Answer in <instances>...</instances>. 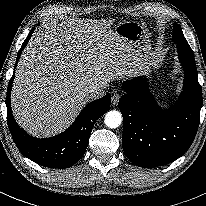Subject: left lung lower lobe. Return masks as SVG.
<instances>
[{"mask_svg":"<svg viewBox=\"0 0 206 206\" xmlns=\"http://www.w3.org/2000/svg\"><path fill=\"white\" fill-rule=\"evenodd\" d=\"M185 71L183 92L170 108L158 106L145 77L123 83L126 92L119 100L123 115L122 145L127 158L143 168L163 166L182 156L197 133L202 90L195 61L179 51Z\"/></svg>","mask_w":206,"mask_h":206,"instance_id":"left-lung-lower-lobe-1","label":"left lung lower lobe"}]
</instances>
